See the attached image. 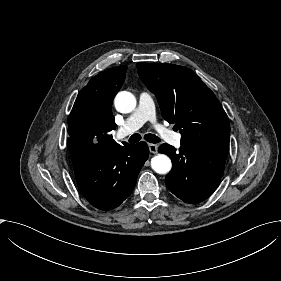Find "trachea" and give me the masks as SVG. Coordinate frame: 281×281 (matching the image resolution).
<instances>
[{"mask_svg": "<svg viewBox=\"0 0 281 281\" xmlns=\"http://www.w3.org/2000/svg\"><path fill=\"white\" fill-rule=\"evenodd\" d=\"M141 139L140 134H133L130 138H129V142L130 143H137L139 140ZM144 139L150 143H158L160 140L159 138L154 135V134H146L144 136Z\"/></svg>", "mask_w": 281, "mask_h": 281, "instance_id": "1", "label": "trachea"}]
</instances>
